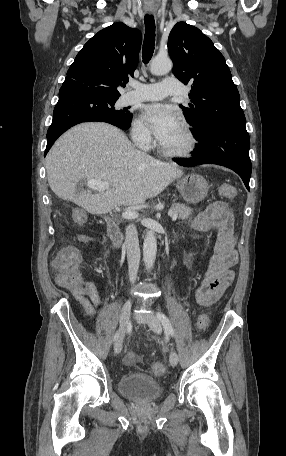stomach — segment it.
<instances>
[{
    "label": "stomach",
    "instance_id": "stomach-1",
    "mask_svg": "<svg viewBox=\"0 0 286 456\" xmlns=\"http://www.w3.org/2000/svg\"><path fill=\"white\" fill-rule=\"evenodd\" d=\"M177 189L189 204H197L207 196L209 185L198 174H187L177 180Z\"/></svg>",
    "mask_w": 286,
    "mask_h": 456
}]
</instances>
